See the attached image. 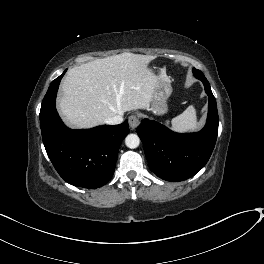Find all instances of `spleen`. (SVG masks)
<instances>
[{
	"label": "spleen",
	"mask_w": 264,
	"mask_h": 264,
	"mask_svg": "<svg viewBox=\"0 0 264 264\" xmlns=\"http://www.w3.org/2000/svg\"><path fill=\"white\" fill-rule=\"evenodd\" d=\"M169 126L170 121L165 122ZM198 128L196 109L189 106L182 114L171 120V129L177 132L193 131Z\"/></svg>",
	"instance_id": "1"
}]
</instances>
